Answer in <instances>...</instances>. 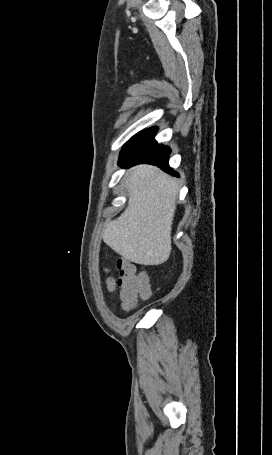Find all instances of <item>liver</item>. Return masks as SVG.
I'll return each mask as SVG.
<instances>
[{
  "label": "liver",
  "mask_w": 272,
  "mask_h": 455,
  "mask_svg": "<svg viewBox=\"0 0 272 455\" xmlns=\"http://www.w3.org/2000/svg\"><path fill=\"white\" fill-rule=\"evenodd\" d=\"M128 206L108 223L103 241L125 259L147 266L166 262L176 210V180L156 167H134L126 178Z\"/></svg>",
  "instance_id": "6515ba94"
}]
</instances>
